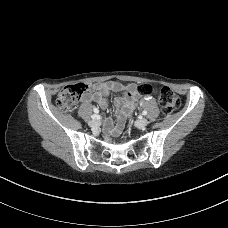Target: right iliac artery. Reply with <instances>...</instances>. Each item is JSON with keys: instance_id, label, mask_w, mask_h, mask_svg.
<instances>
[{"instance_id": "obj_1", "label": "right iliac artery", "mask_w": 228, "mask_h": 228, "mask_svg": "<svg viewBox=\"0 0 228 228\" xmlns=\"http://www.w3.org/2000/svg\"><path fill=\"white\" fill-rule=\"evenodd\" d=\"M94 112H95V114H93V115L91 116V118H92V119H98V118H99V116L97 115L98 109H94Z\"/></svg>"}]
</instances>
